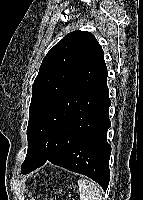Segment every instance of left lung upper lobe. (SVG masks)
Masks as SVG:
<instances>
[{
    "instance_id": "left-lung-upper-lobe-1",
    "label": "left lung upper lobe",
    "mask_w": 143,
    "mask_h": 200,
    "mask_svg": "<svg viewBox=\"0 0 143 200\" xmlns=\"http://www.w3.org/2000/svg\"><path fill=\"white\" fill-rule=\"evenodd\" d=\"M101 51L102 47L92 33L77 30L67 34L44 57L32 86L27 127L28 150L21 170L27 167L31 158L32 129L40 112Z\"/></svg>"
}]
</instances>
